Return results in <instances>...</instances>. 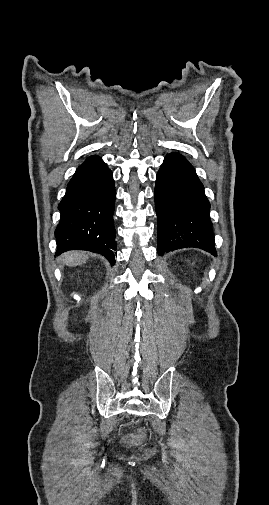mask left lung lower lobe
<instances>
[{"label": "left lung lower lobe", "mask_w": 269, "mask_h": 505, "mask_svg": "<svg viewBox=\"0 0 269 505\" xmlns=\"http://www.w3.org/2000/svg\"><path fill=\"white\" fill-rule=\"evenodd\" d=\"M158 253L195 247L216 255L210 203L195 169L180 154H168L155 186Z\"/></svg>", "instance_id": "1"}]
</instances>
